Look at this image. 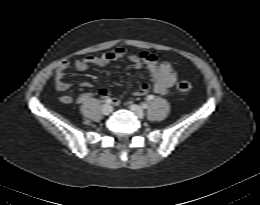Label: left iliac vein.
Instances as JSON below:
<instances>
[{"label": "left iliac vein", "instance_id": "1", "mask_svg": "<svg viewBox=\"0 0 260 205\" xmlns=\"http://www.w3.org/2000/svg\"><path fill=\"white\" fill-rule=\"evenodd\" d=\"M130 110L138 117V118H143L144 117V112L142 108L139 105L136 104H131L130 105Z\"/></svg>", "mask_w": 260, "mask_h": 205}]
</instances>
